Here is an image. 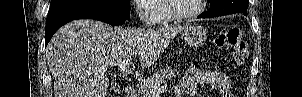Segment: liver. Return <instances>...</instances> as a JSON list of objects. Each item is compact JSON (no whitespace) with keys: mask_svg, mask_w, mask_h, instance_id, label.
<instances>
[{"mask_svg":"<svg viewBox=\"0 0 302 97\" xmlns=\"http://www.w3.org/2000/svg\"><path fill=\"white\" fill-rule=\"evenodd\" d=\"M184 27H112L88 19L64 25L46 50L55 97H106L108 68L136 56L142 68L151 67Z\"/></svg>","mask_w":302,"mask_h":97,"instance_id":"liver-1","label":"liver"}]
</instances>
